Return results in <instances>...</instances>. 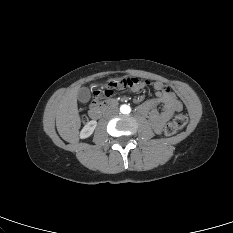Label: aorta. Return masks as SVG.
Listing matches in <instances>:
<instances>
[{
  "instance_id": "1",
  "label": "aorta",
  "mask_w": 233,
  "mask_h": 233,
  "mask_svg": "<svg viewBox=\"0 0 233 233\" xmlns=\"http://www.w3.org/2000/svg\"><path fill=\"white\" fill-rule=\"evenodd\" d=\"M130 111H131V108H130V106H128V105H122L121 107H120V112L122 113V114H129L130 113Z\"/></svg>"
}]
</instances>
